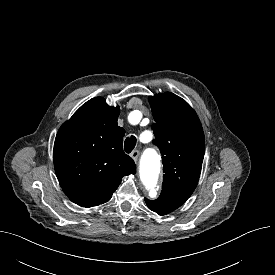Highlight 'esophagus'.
<instances>
[{"label": "esophagus", "instance_id": "1", "mask_svg": "<svg viewBox=\"0 0 275 275\" xmlns=\"http://www.w3.org/2000/svg\"><path fill=\"white\" fill-rule=\"evenodd\" d=\"M140 152L138 150H134L131 152L130 156L132 159L137 162Z\"/></svg>", "mask_w": 275, "mask_h": 275}]
</instances>
